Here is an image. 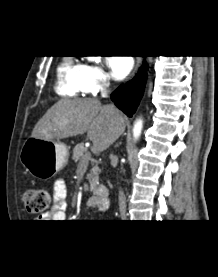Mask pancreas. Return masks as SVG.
<instances>
[{
    "label": "pancreas",
    "instance_id": "pancreas-1",
    "mask_svg": "<svg viewBox=\"0 0 218 277\" xmlns=\"http://www.w3.org/2000/svg\"><path fill=\"white\" fill-rule=\"evenodd\" d=\"M90 159H91V154L88 152L87 148L84 146L83 143L75 146V148L73 149V160L75 162L81 163L85 161L87 163ZM94 163L96 162L94 161ZM98 170L99 168L97 164H95L92 167L90 173L87 174V179L89 180L91 191H94L99 184Z\"/></svg>",
    "mask_w": 218,
    "mask_h": 277
}]
</instances>
